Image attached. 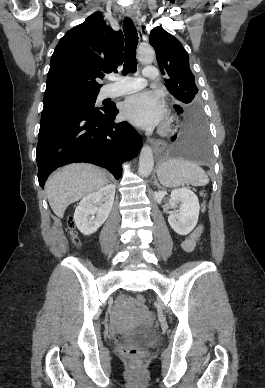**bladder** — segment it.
I'll return each instance as SVG.
<instances>
[{
  "mask_svg": "<svg viewBox=\"0 0 265 388\" xmlns=\"http://www.w3.org/2000/svg\"><path fill=\"white\" fill-rule=\"evenodd\" d=\"M151 334V331L149 328H138L128 334L125 335V338H132L134 341L139 340L144 335Z\"/></svg>",
  "mask_w": 265,
  "mask_h": 388,
  "instance_id": "obj_1",
  "label": "bladder"
}]
</instances>
